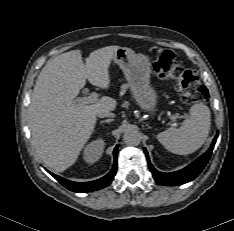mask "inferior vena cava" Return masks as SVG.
Wrapping results in <instances>:
<instances>
[{
	"mask_svg": "<svg viewBox=\"0 0 234 231\" xmlns=\"http://www.w3.org/2000/svg\"><path fill=\"white\" fill-rule=\"evenodd\" d=\"M98 116H99L100 118H104V117H114L115 114H113V113L110 112V111L103 110V111H101V112L98 113Z\"/></svg>",
	"mask_w": 234,
	"mask_h": 231,
	"instance_id": "1",
	"label": "inferior vena cava"
}]
</instances>
